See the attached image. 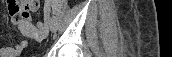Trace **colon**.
I'll return each instance as SVG.
<instances>
[{"label": "colon", "instance_id": "obj_1", "mask_svg": "<svg viewBox=\"0 0 172 57\" xmlns=\"http://www.w3.org/2000/svg\"><path fill=\"white\" fill-rule=\"evenodd\" d=\"M37 29L39 30V31H45V24L44 23H42V22H38L37 23Z\"/></svg>", "mask_w": 172, "mask_h": 57}]
</instances>
